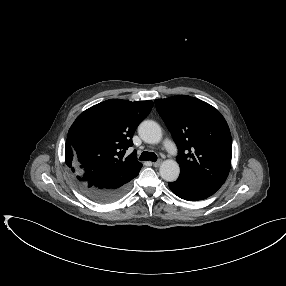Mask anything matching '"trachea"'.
I'll use <instances>...</instances> for the list:
<instances>
[{"mask_svg":"<svg viewBox=\"0 0 286 286\" xmlns=\"http://www.w3.org/2000/svg\"><path fill=\"white\" fill-rule=\"evenodd\" d=\"M139 159H140V160H144V161L150 160V161H152V162H155V161L157 160V156H156V154L153 153V152L144 151V152L141 154V156H140Z\"/></svg>","mask_w":286,"mask_h":286,"instance_id":"trachea-1","label":"trachea"}]
</instances>
